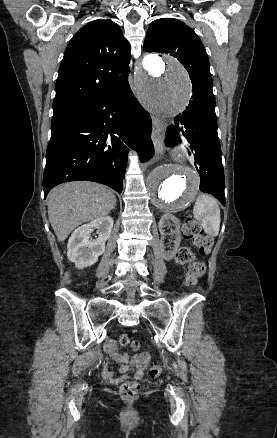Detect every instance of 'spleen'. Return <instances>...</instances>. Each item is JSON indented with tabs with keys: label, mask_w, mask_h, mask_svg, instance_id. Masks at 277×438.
<instances>
[{
	"label": "spleen",
	"mask_w": 277,
	"mask_h": 438,
	"mask_svg": "<svg viewBox=\"0 0 277 438\" xmlns=\"http://www.w3.org/2000/svg\"><path fill=\"white\" fill-rule=\"evenodd\" d=\"M193 216L195 220L201 222L204 232L208 236H218L220 228V208L217 204V200L207 194H201L196 200V204L193 210Z\"/></svg>",
	"instance_id": "1"
}]
</instances>
